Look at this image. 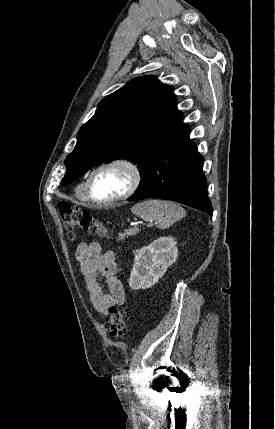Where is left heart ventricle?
Returning a JSON list of instances; mask_svg holds the SVG:
<instances>
[{
	"mask_svg": "<svg viewBox=\"0 0 275 429\" xmlns=\"http://www.w3.org/2000/svg\"><path fill=\"white\" fill-rule=\"evenodd\" d=\"M128 174L119 167L99 171L91 183V194L95 199L106 200L121 194L128 185Z\"/></svg>",
	"mask_w": 275,
	"mask_h": 429,
	"instance_id": "obj_1",
	"label": "left heart ventricle"
}]
</instances>
